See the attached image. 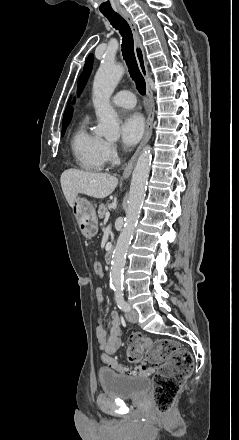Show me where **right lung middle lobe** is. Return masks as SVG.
<instances>
[{"mask_svg": "<svg viewBox=\"0 0 239 440\" xmlns=\"http://www.w3.org/2000/svg\"><path fill=\"white\" fill-rule=\"evenodd\" d=\"M66 127H67V126H64V127H63V130H62V136H63L64 133H65Z\"/></svg>", "mask_w": 239, "mask_h": 440, "instance_id": "dd1d6c3e", "label": "right lung middle lobe"}]
</instances>
